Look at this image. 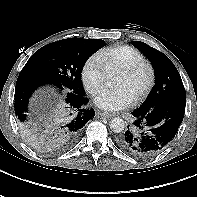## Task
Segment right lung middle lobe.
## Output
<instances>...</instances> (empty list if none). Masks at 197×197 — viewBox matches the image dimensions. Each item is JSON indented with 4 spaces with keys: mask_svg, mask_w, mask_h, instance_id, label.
<instances>
[{
    "mask_svg": "<svg viewBox=\"0 0 197 197\" xmlns=\"http://www.w3.org/2000/svg\"><path fill=\"white\" fill-rule=\"evenodd\" d=\"M103 46L105 42L101 39L60 40L37 50L22 71L48 77L62 90L66 88L68 92L85 95L81 82L82 69L88 58Z\"/></svg>",
    "mask_w": 197,
    "mask_h": 197,
    "instance_id": "dd1d6c3e",
    "label": "right lung middle lobe"
}]
</instances>
